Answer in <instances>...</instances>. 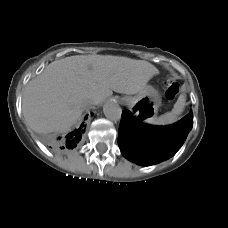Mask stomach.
Masks as SVG:
<instances>
[{"instance_id": "1", "label": "stomach", "mask_w": 228, "mask_h": 228, "mask_svg": "<svg viewBox=\"0 0 228 228\" xmlns=\"http://www.w3.org/2000/svg\"><path fill=\"white\" fill-rule=\"evenodd\" d=\"M124 102L138 105L137 115L146 118V121H150L157 114L161 105V97L154 87L146 85L135 97L124 99Z\"/></svg>"}]
</instances>
